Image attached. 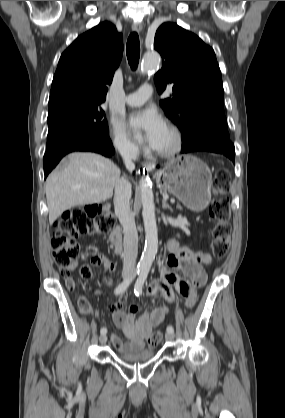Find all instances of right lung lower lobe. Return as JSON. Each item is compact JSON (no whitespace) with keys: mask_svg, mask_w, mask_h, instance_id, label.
<instances>
[{"mask_svg":"<svg viewBox=\"0 0 285 418\" xmlns=\"http://www.w3.org/2000/svg\"><path fill=\"white\" fill-rule=\"evenodd\" d=\"M72 151H91L110 157L114 148L109 137H94L88 135L73 136L47 149L44 155L45 178L59 163L61 158Z\"/></svg>","mask_w":285,"mask_h":418,"instance_id":"right-lung-lower-lobe-1","label":"right lung lower lobe"}]
</instances>
